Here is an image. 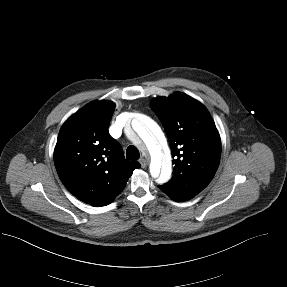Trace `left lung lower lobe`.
<instances>
[{
  "instance_id": "left-lung-lower-lobe-1",
  "label": "left lung lower lobe",
  "mask_w": 287,
  "mask_h": 287,
  "mask_svg": "<svg viewBox=\"0 0 287 287\" xmlns=\"http://www.w3.org/2000/svg\"><path fill=\"white\" fill-rule=\"evenodd\" d=\"M165 194H167L171 199L175 200V201H178V202H182V201H186L188 200V198L182 196V195H179L178 193H176L175 191L167 188L166 186L164 185H159L158 186Z\"/></svg>"
}]
</instances>
